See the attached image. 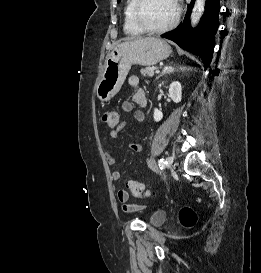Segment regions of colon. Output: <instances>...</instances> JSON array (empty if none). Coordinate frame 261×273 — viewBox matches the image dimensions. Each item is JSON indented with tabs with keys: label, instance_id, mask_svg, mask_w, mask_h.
Instances as JSON below:
<instances>
[{
	"label": "colon",
	"instance_id": "1",
	"mask_svg": "<svg viewBox=\"0 0 261 273\" xmlns=\"http://www.w3.org/2000/svg\"><path fill=\"white\" fill-rule=\"evenodd\" d=\"M103 122L109 127H116L119 123V113L115 110L107 111L102 116ZM127 187L129 192L138 198L150 196V192L145 188L142 183L134 180H129L127 182ZM180 222L185 227H191L195 224L197 220L196 213L189 207H184L179 214Z\"/></svg>",
	"mask_w": 261,
	"mask_h": 273
}]
</instances>
